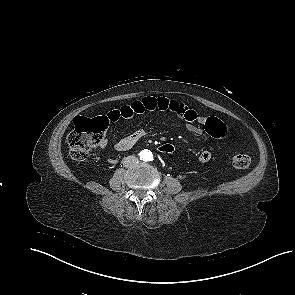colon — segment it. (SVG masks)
I'll return each mask as SVG.
<instances>
[{"instance_id": "colon-1", "label": "colon", "mask_w": 295, "mask_h": 295, "mask_svg": "<svg viewBox=\"0 0 295 295\" xmlns=\"http://www.w3.org/2000/svg\"><path fill=\"white\" fill-rule=\"evenodd\" d=\"M107 120L104 116L85 117L79 116L74 120V129L67 137L69 154L74 162L85 161L91 149L101 143L107 128ZM206 131L214 137L225 138L234 133L232 126L217 119H210L205 125ZM161 153L172 155L175 147L167 141L158 145ZM250 156L246 153H237L232 158L233 167L238 170L246 169L250 165Z\"/></svg>"}]
</instances>
